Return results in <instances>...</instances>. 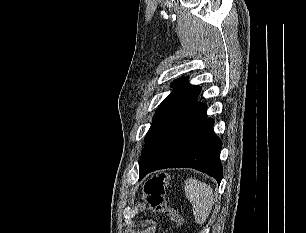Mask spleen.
Here are the masks:
<instances>
[{
  "mask_svg": "<svg viewBox=\"0 0 306 233\" xmlns=\"http://www.w3.org/2000/svg\"><path fill=\"white\" fill-rule=\"evenodd\" d=\"M185 194L192 204L196 223L204 224L213 206V190L210 185L190 178L185 182Z\"/></svg>",
  "mask_w": 306,
  "mask_h": 233,
  "instance_id": "1",
  "label": "spleen"
}]
</instances>
